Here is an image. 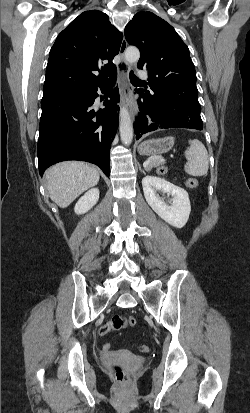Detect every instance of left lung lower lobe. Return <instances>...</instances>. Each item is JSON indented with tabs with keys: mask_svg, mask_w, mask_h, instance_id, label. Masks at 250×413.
Masks as SVG:
<instances>
[{
	"mask_svg": "<svg viewBox=\"0 0 250 413\" xmlns=\"http://www.w3.org/2000/svg\"><path fill=\"white\" fill-rule=\"evenodd\" d=\"M149 86L150 91L146 88L135 89L142 99L141 112L134 123L136 139L147 132L162 128L203 129L196 84L169 82L154 86L149 82ZM146 115L151 118L152 123L148 122Z\"/></svg>",
	"mask_w": 250,
	"mask_h": 413,
	"instance_id": "left-lung-lower-lobe-1",
	"label": "left lung lower lobe"
}]
</instances>
